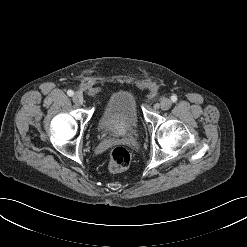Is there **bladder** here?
I'll use <instances>...</instances> for the list:
<instances>
[{"mask_svg":"<svg viewBox=\"0 0 247 247\" xmlns=\"http://www.w3.org/2000/svg\"><path fill=\"white\" fill-rule=\"evenodd\" d=\"M139 124L134 95L118 91L111 95L99 119V129L104 134H121L134 130Z\"/></svg>","mask_w":247,"mask_h":247,"instance_id":"1","label":"bladder"}]
</instances>
